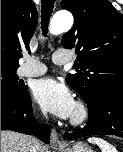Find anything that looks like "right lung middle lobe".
<instances>
[{"label":"right lung middle lobe","instance_id":"dd1d6c3e","mask_svg":"<svg viewBox=\"0 0 123 152\" xmlns=\"http://www.w3.org/2000/svg\"><path fill=\"white\" fill-rule=\"evenodd\" d=\"M17 68L1 67V95H14L23 93L27 87L22 84L16 75Z\"/></svg>","mask_w":123,"mask_h":152}]
</instances>
